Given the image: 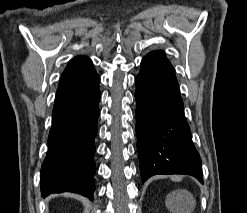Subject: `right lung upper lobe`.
<instances>
[{
	"label": "right lung upper lobe",
	"instance_id": "cb5924a9",
	"mask_svg": "<svg viewBox=\"0 0 247 213\" xmlns=\"http://www.w3.org/2000/svg\"><path fill=\"white\" fill-rule=\"evenodd\" d=\"M92 66V61L86 56H76L69 61L63 75L86 69Z\"/></svg>",
	"mask_w": 247,
	"mask_h": 213
}]
</instances>
